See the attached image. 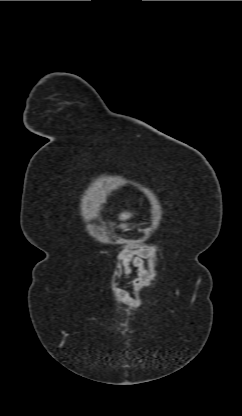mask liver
Here are the masks:
<instances>
[{"label":"liver","instance_id":"liver-1","mask_svg":"<svg viewBox=\"0 0 242 416\" xmlns=\"http://www.w3.org/2000/svg\"><path fill=\"white\" fill-rule=\"evenodd\" d=\"M131 216H132V214H131V213H129V212H123V213H121V214H120L119 219H120V220H127V219H129Z\"/></svg>","mask_w":242,"mask_h":416}]
</instances>
